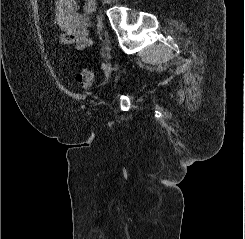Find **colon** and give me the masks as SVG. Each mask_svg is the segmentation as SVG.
<instances>
[{
    "label": "colon",
    "instance_id": "colon-1",
    "mask_svg": "<svg viewBox=\"0 0 245 239\" xmlns=\"http://www.w3.org/2000/svg\"><path fill=\"white\" fill-rule=\"evenodd\" d=\"M77 82L82 88H91L94 84V76L89 69L83 68L77 74Z\"/></svg>",
    "mask_w": 245,
    "mask_h": 239
}]
</instances>
